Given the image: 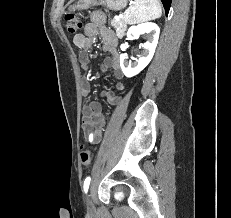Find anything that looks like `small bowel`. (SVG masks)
Wrapping results in <instances>:
<instances>
[{"label": "small bowel", "instance_id": "c3829d8e", "mask_svg": "<svg viewBox=\"0 0 231 218\" xmlns=\"http://www.w3.org/2000/svg\"><path fill=\"white\" fill-rule=\"evenodd\" d=\"M105 14L101 11H94L90 14L89 21L85 24L83 32L73 37L75 46L84 51L89 50L93 44L95 37L100 36L103 50L108 54L101 65L102 72L113 69L115 77L120 80L123 78V73L120 67L119 55L117 52V37L115 34L105 27ZM80 67L87 70L90 64V58L86 52L80 54ZM115 89L122 91L124 84L118 81L115 84ZM81 92L85 99H89L91 95V87L89 82L83 78L81 81ZM102 96L111 104L117 105L120 102V96L116 95L113 89L102 92ZM106 120L102 114L101 105L96 100H90L82 109V129L87 135V132H92L94 141L98 143L102 137ZM90 142V141H89Z\"/></svg>", "mask_w": 231, "mask_h": 218}]
</instances>
